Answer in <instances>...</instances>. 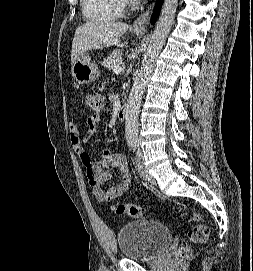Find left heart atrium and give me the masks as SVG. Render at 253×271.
Masks as SVG:
<instances>
[{
    "label": "left heart atrium",
    "mask_w": 253,
    "mask_h": 271,
    "mask_svg": "<svg viewBox=\"0 0 253 271\" xmlns=\"http://www.w3.org/2000/svg\"><path fill=\"white\" fill-rule=\"evenodd\" d=\"M134 1L139 2V1H142V0H134Z\"/></svg>",
    "instance_id": "39dd6f15"
}]
</instances>
